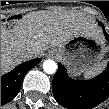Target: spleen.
I'll list each match as a JSON object with an SVG mask.
<instances>
[{
  "label": "spleen",
  "mask_w": 109,
  "mask_h": 109,
  "mask_svg": "<svg viewBox=\"0 0 109 109\" xmlns=\"http://www.w3.org/2000/svg\"><path fill=\"white\" fill-rule=\"evenodd\" d=\"M105 65H106V62L103 63V64H101V65L99 66V68L96 69V70H94V71H87V72H85V73H84V77H85V78H91V77L96 76L98 73L101 72V70H103V69L105 68Z\"/></svg>",
  "instance_id": "spleen-1"
}]
</instances>
